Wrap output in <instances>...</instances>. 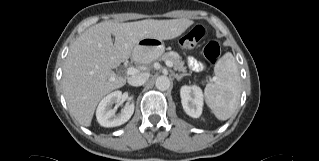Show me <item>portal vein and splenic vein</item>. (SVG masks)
I'll use <instances>...</instances> for the list:
<instances>
[{
	"instance_id": "18ae733b",
	"label": "portal vein and splenic vein",
	"mask_w": 319,
	"mask_h": 161,
	"mask_svg": "<svg viewBox=\"0 0 319 161\" xmlns=\"http://www.w3.org/2000/svg\"><path fill=\"white\" fill-rule=\"evenodd\" d=\"M165 64L167 65V67H172L173 66V64H172V62H170V61H165ZM137 72V69L136 68H134V67H129L128 69H127V73L129 74V75H133V74H135Z\"/></svg>"
}]
</instances>
